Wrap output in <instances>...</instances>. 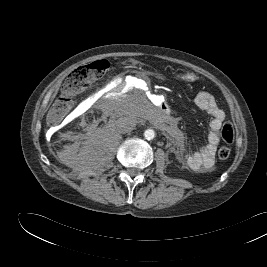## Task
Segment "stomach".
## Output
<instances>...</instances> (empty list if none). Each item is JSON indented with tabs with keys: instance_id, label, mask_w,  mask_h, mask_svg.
<instances>
[{
	"instance_id": "1",
	"label": "stomach",
	"mask_w": 267,
	"mask_h": 267,
	"mask_svg": "<svg viewBox=\"0 0 267 267\" xmlns=\"http://www.w3.org/2000/svg\"><path fill=\"white\" fill-rule=\"evenodd\" d=\"M178 77L187 81H194L196 79V76L190 73L178 75Z\"/></svg>"
}]
</instances>
